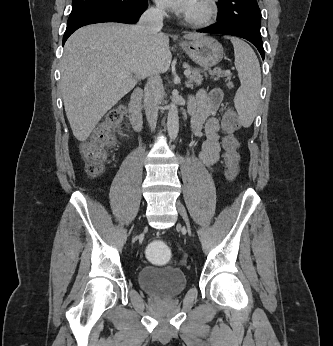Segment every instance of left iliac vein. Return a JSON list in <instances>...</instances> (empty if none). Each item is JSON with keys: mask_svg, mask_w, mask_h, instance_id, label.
I'll list each match as a JSON object with an SVG mask.
<instances>
[{"mask_svg": "<svg viewBox=\"0 0 333 346\" xmlns=\"http://www.w3.org/2000/svg\"><path fill=\"white\" fill-rule=\"evenodd\" d=\"M176 208H177L180 216L185 221L187 230L190 232L191 228H190L189 218H188L186 209H185L184 205L179 200L176 202Z\"/></svg>", "mask_w": 333, "mask_h": 346, "instance_id": "obj_1", "label": "left iliac vein"}]
</instances>
